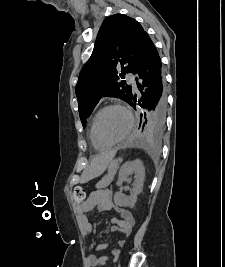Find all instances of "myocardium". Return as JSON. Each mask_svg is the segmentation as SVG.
Here are the masks:
<instances>
[{
	"label": "myocardium",
	"mask_w": 225,
	"mask_h": 267,
	"mask_svg": "<svg viewBox=\"0 0 225 267\" xmlns=\"http://www.w3.org/2000/svg\"><path fill=\"white\" fill-rule=\"evenodd\" d=\"M111 109H121V110H123L126 113L127 117H128L129 124H128V128H127L125 134L120 139L108 142V141L103 140L102 137L100 136L99 123H100V120L103 117V115L107 111H109ZM133 126H134V117H133V114H132L131 110L127 106H125L123 104L112 103V104H109V105L103 107L99 111V113L97 114V116H96V118L94 120L93 130H94L95 138H96V140L98 142H100V143H102V144H104L106 146L111 147V146H115V145H118V144L124 142L128 138V136L130 135V133H131V131L133 129Z\"/></svg>",
	"instance_id": "f54148a6"
}]
</instances>
